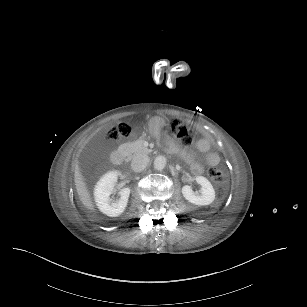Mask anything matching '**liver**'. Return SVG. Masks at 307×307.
<instances>
[{
  "instance_id": "1",
  "label": "liver",
  "mask_w": 307,
  "mask_h": 307,
  "mask_svg": "<svg viewBox=\"0 0 307 307\" xmlns=\"http://www.w3.org/2000/svg\"><path fill=\"white\" fill-rule=\"evenodd\" d=\"M74 182H75L77 193L79 195V199L82 202V204L88 210L95 211V207H94L92 198L86 187V183L84 182V178L80 172V168L78 164L76 165L75 171H74Z\"/></svg>"
}]
</instances>
